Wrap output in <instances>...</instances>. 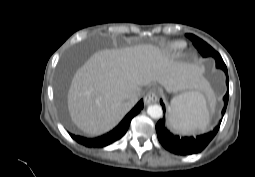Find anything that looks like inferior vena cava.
Listing matches in <instances>:
<instances>
[{"label": "inferior vena cava", "mask_w": 255, "mask_h": 177, "mask_svg": "<svg viewBox=\"0 0 255 177\" xmlns=\"http://www.w3.org/2000/svg\"><path fill=\"white\" fill-rule=\"evenodd\" d=\"M139 99V96L137 94H132L130 97H129V103H131L132 105L136 104L137 101Z\"/></svg>", "instance_id": "obj_1"}]
</instances>
